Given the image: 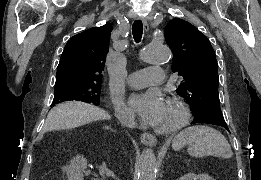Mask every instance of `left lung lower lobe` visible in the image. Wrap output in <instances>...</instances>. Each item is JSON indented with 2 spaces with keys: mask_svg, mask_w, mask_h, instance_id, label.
Masks as SVG:
<instances>
[{
  "mask_svg": "<svg viewBox=\"0 0 261 180\" xmlns=\"http://www.w3.org/2000/svg\"><path fill=\"white\" fill-rule=\"evenodd\" d=\"M197 123L214 124V125L222 126L226 129H228L226 123H217V122H214V121H211V120H204V121H201V122L193 121L191 124H197Z\"/></svg>",
  "mask_w": 261,
  "mask_h": 180,
  "instance_id": "1",
  "label": "left lung lower lobe"
}]
</instances>
